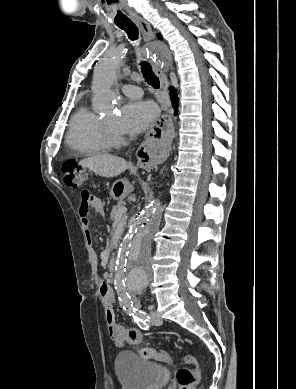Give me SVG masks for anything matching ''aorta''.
I'll return each instance as SVG.
<instances>
[{"label":"aorta","mask_w":296,"mask_h":389,"mask_svg":"<svg viewBox=\"0 0 296 389\" xmlns=\"http://www.w3.org/2000/svg\"><path fill=\"white\" fill-rule=\"evenodd\" d=\"M120 66L121 61L116 55H107L95 67L94 100L102 109H112L117 102L112 87ZM162 210L159 200L148 203L119 246L115 262V282L126 299L128 295L145 289L151 281V244L161 222Z\"/></svg>","instance_id":"1"}]
</instances>
